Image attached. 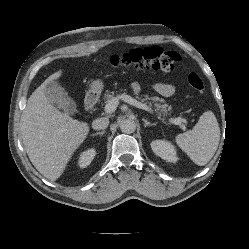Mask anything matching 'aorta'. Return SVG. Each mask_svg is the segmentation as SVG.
I'll return each instance as SVG.
<instances>
[{"label":"aorta","instance_id":"762f6f07","mask_svg":"<svg viewBox=\"0 0 249 249\" xmlns=\"http://www.w3.org/2000/svg\"><path fill=\"white\" fill-rule=\"evenodd\" d=\"M120 129L123 133H133L136 130V123L132 119H125L120 123Z\"/></svg>","mask_w":249,"mask_h":249}]
</instances>
